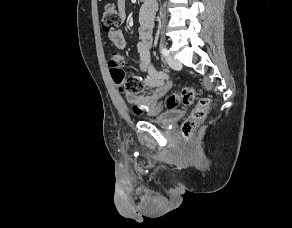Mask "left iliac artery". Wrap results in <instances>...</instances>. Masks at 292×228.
Masks as SVG:
<instances>
[{
	"label": "left iliac artery",
	"instance_id": "44dca946",
	"mask_svg": "<svg viewBox=\"0 0 292 228\" xmlns=\"http://www.w3.org/2000/svg\"><path fill=\"white\" fill-rule=\"evenodd\" d=\"M161 53L163 56L167 57L169 55V50L166 47H162Z\"/></svg>",
	"mask_w": 292,
	"mask_h": 228
}]
</instances>
